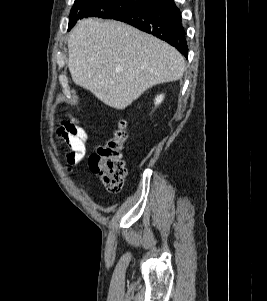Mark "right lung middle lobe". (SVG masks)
I'll return each instance as SVG.
<instances>
[{
	"instance_id": "obj_1",
	"label": "right lung middle lobe",
	"mask_w": 267,
	"mask_h": 301,
	"mask_svg": "<svg viewBox=\"0 0 267 301\" xmlns=\"http://www.w3.org/2000/svg\"><path fill=\"white\" fill-rule=\"evenodd\" d=\"M148 5L145 0H75L70 11L69 29L78 19L87 17L114 18Z\"/></svg>"
}]
</instances>
